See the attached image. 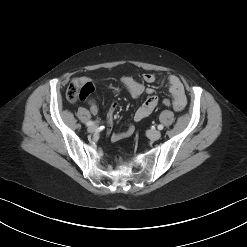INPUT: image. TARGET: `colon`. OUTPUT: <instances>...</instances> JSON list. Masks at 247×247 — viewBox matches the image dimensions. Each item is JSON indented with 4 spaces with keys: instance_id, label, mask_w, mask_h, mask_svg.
<instances>
[{
    "instance_id": "5ec220e1",
    "label": "colon",
    "mask_w": 247,
    "mask_h": 247,
    "mask_svg": "<svg viewBox=\"0 0 247 247\" xmlns=\"http://www.w3.org/2000/svg\"><path fill=\"white\" fill-rule=\"evenodd\" d=\"M92 91L93 87L89 84L80 86L76 83H71L67 88L66 97L71 102L84 100ZM162 104L168 108L174 107L173 101L170 99H163Z\"/></svg>"
}]
</instances>
